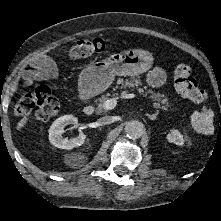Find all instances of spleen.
Wrapping results in <instances>:
<instances>
[{"instance_id":"3e777b00","label":"spleen","mask_w":221,"mask_h":221,"mask_svg":"<svg viewBox=\"0 0 221 221\" xmlns=\"http://www.w3.org/2000/svg\"><path fill=\"white\" fill-rule=\"evenodd\" d=\"M213 110L209 109L204 112L194 111L191 114V126L193 130L200 134L210 135L214 133Z\"/></svg>"}]
</instances>
